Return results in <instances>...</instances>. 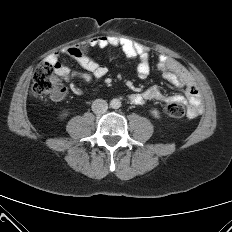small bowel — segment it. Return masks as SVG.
<instances>
[{"instance_id":"c3829d8e","label":"small bowel","mask_w":232,"mask_h":232,"mask_svg":"<svg viewBox=\"0 0 232 232\" xmlns=\"http://www.w3.org/2000/svg\"><path fill=\"white\" fill-rule=\"evenodd\" d=\"M89 44L100 48H120L130 58L137 60L136 74L139 78H146L151 72L150 50L140 43L115 35H102L91 38ZM48 59L54 64L55 72L67 83V86H63L58 95L52 96L54 101L64 99L69 92L76 95L83 94L84 90L76 82L77 79L90 83L103 79L108 73L105 66L84 55L75 58L83 71L74 70L70 66L60 63L56 55H50ZM155 66L163 74L165 80L176 87L184 89L185 97L168 95L162 91L160 86L153 85L142 92L130 94L128 101L131 104L140 105L150 100L180 103L186 100L188 102V116H199L202 112L201 95L193 75L187 68L175 58L164 53L157 56Z\"/></svg>"}]
</instances>
